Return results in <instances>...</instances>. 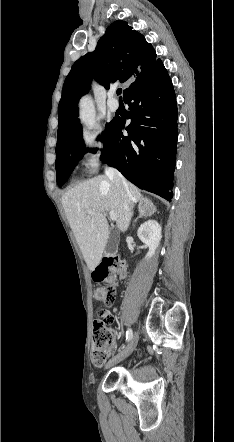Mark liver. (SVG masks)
I'll return each mask as SVG.
<instances>
[{
    "mask_svg": "<svg viewBox=\"0 0 234 442\" xmlns=\"http://www.w3.org/2000/svg\"><path fill=\"white\" fill-rule=\"evenodd\" d=\"M132 207L143 197L139 189L127 182ZM128 193L119 189L107 175L84 181L62 196V205L84 260L90 271L100 263L108 238L106 212H114L117 226L125 232L132 217L131 208L124 206ZM88 210L92 213L88 214Z\"/></svg>",
    "mask_w": 234,
    "mask_h": 442,
    "instance_id": "6515ba94",
    "label": "liver"
}]
</instances>
